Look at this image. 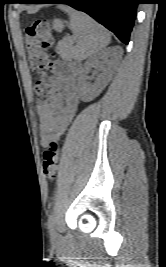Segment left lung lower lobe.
<instances>
[{
    "label": "left lung lower lobe",
    "instance_id": "obj_1",
    "mask_svg": "<svg viewBox=\"0 0 166 267\" xmlns=\"http://www.w3.org/2000/svg\"><path fill=\"white\" fill-rule=\"evenodd\" d=\"M20 3H63L81 10L128 44L139 0H24Z\"/></svg>",
    "mask_w": 166,
    "mask_h": 267
}]
</instances>
